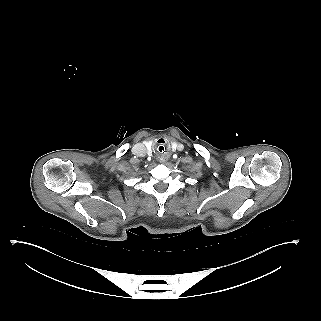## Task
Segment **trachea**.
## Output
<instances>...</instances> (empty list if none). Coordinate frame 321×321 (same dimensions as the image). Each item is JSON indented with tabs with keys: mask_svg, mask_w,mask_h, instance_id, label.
Here are the masks:
<instances>
[{
	"mask_svg": "<svg viewBox=\"0 0 321 321\" xmlns=\"http://www.w3.org/2000/svg\"><path fill=\"white\" fill-rule=\"evenodd\" d=\"M152 153H153L154 157L161 159V158L165 157V155L167 153V149H166L165 145L158 143V144L154 145V147L152 149Z\"/></svg>",
	"mask_w": 321,
	"mask_h": 321,
	"instance_id": "obj_1",
	"label": "trachea"
}]
</instances>
